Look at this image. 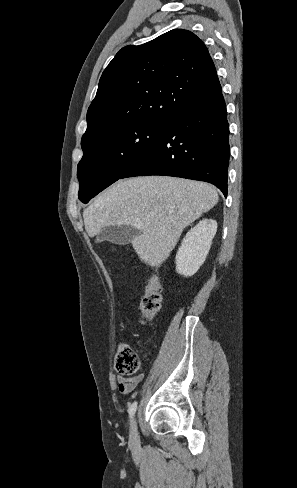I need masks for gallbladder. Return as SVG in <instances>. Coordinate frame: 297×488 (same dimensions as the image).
I'll use <instances>...</instances> for the list:
<instances>
[{
  "label": "gallbladder",
  "mask_w": 297,
  "mask_h": 488,
  "mask_svg": "<svg viewBox=\"0 0 297 488\" xmlns=\"http://www.w3.org/2000/svg\"><path fill=\"white\" fill-rule=\"evenodd\" d=\"M139 233L140 230L131 225L108 226L100 231L97 240L98 242L109 241L113 244L125 245L132 242Z\"/></svg>",
  "instance_id": "bac80fb5"
}]
</instances>
